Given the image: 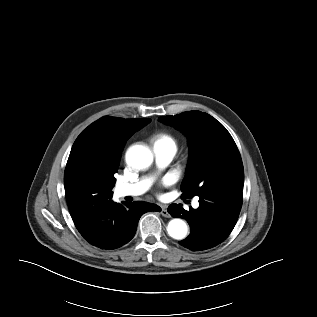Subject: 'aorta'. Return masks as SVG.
<instances>
[{"label":"aorta","instance_id":"aorta-1","mask_svg":"<svg viewBox=\"0 0 317 317\" xmlns=\"http://www.w3.org/2000/svg\"><path fill=\"white\" fill-rule=\"evenodd\" d=\"M126 162L133 169H146L153 162V154L147 146L134 145L126 152ZM167 232L173 239L181 240L186 237L188 227L182 219L174 218L168 223Z\"/></svg>","mask_w":317,"mask_h":317}]
</instances>
